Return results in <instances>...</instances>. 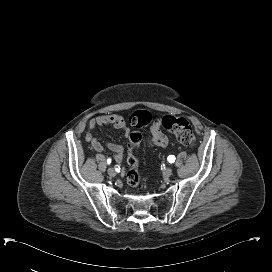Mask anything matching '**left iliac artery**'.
Here are the masks:
<instances>
[{"instance_id": "left-iliac-artery-1", "label": "left iliac artery", "mask_w": 272, "mask_h": 272, "mask_svg": "<svg viewBox=\"0 0 272 272\" xmlns=\"http://www.w3.org/2000/svg\"><path fill=\"white\" fill-rule=\"evenodd\" d=\"M175 159L176 158H175L174 155H169L168 158H167V160H168L169 163H173L175 161Z\"/></svg>"}]
</instances>
